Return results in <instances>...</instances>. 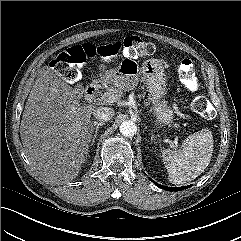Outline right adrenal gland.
I'll use <instances>...</instances> for the list:
<instances>
[{
	"label": "right adrenal gland",
	"instance_id": "right-adrenal-gland-1",
	"mask_svg": "<svg viewBox=\"0 0 241 241\" xmlns=\"http://www.w3.org/2000/svg\"><path fill=\"white\" fill-rule=\"evenodd\" d=\"M103 125H104L103 122H97V121H93V122L90 123L89 130H90L91 137L93 136L92 145L95 142V138L97 137L99 128L102 127Z\"/></svg>",
	"mask_w": 241,
	"mask_h": 241
}]
</instances>
